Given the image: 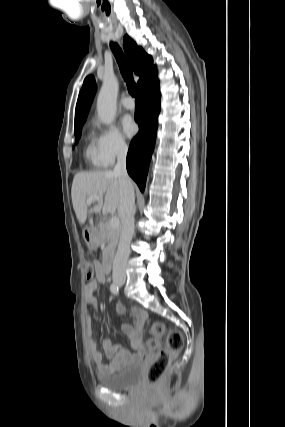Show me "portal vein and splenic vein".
I'll return each mask as SVG.
<instances>
[{
	"mask_svg": "<svg viewBox=\"0 0 285 427\" xmlns=\"http://www.w3.org/2000/svg\"><path fill=\"white\" fill-rule=\"evenodd\" d=\"M100 200L101 198L99 196H90L86 202L88 205H91L92 202ZM108 223L111 227H117L119 226V219L116 216L112 215L109 217Z\"/></svg>",
	"mask_w": 285,
	"mask_h": 427,
	"instance_id": "obj_1",
	"label": "portal vein and splenic vein"
}]
</instances>
